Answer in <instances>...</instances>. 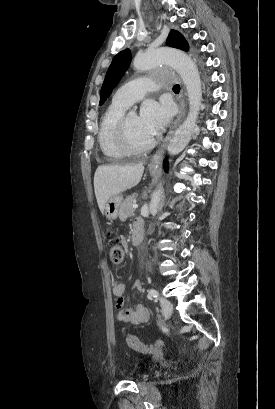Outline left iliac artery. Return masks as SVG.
I'll return each mask as SVG.
<instances>
[{"label": "left iliac artery", "instance_id": "obj_1", "mask_svg": "<svg viewBox=\"0 0 275 409\" xmlns=\"http://www.w3.org/2000/svg\"><path fill=\"white\" fill-rule=\"evenodd\" d=\"M149 295H150L151 297L157 299L159 294H158V291H157L156 289H150V290H149Z\"/></svg>", "mask_w": 275, "mask_h": 409}]
</instances>
